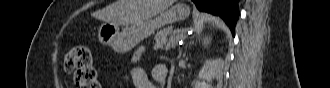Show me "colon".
<instances>
[{
    "instance_id": "colon-1",
    "label": "colon",
    "mask_w": 330,
    "mask_h": 88,
    "mask_svg": "<svg viewBox=\"0 0 330 88\" xmlns=\"http://www.w3.org/2000/svg\"><path fill=\"white\" fill-rule=\"evenodd\" d=\"M138 55H136V58ZM64 71L74 74L77 85L81 88H99L98 71L94 57L87 46L78 45L65 53Z\"/></svg>"
}]
</instances>
